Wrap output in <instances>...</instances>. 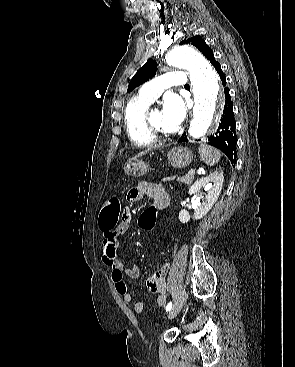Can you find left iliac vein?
<instances>
[{"instance_id": "1", "label": "left iliac vein", "mask_w": 295, "mask_h": 367, "mask_svg": "<svg viewBox=\"0 0 295 367\" xmlns=\"http://www.w3.org/2000/svg\"><path fill=\"white\" fill-rule=\"evenodd\" d=\"M185 300H186V291L184 289H181L179 291L178 297H177L173 307L169 311V314H168L169 319L174 318L179 313V311L181 310L182 306L185 303Z\"/></svg>"}]
</instances>
